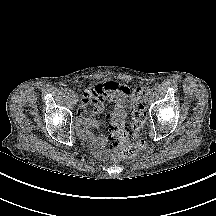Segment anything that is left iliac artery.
Here are the masks:
<instances>
[{"label":"left iliac artery","instance_id":"obj_1","mask_svg":"<svg viewBox=\"0 0 216 216\" xmlns=\"http://www.w3.org/2000/svg\"><path fill=\"white\" fill-rule=\"evenodd\" d=\"M152 90L150 89V88H147L146 89V93H148V94H151L152 92H151Z\"/></svg>","mask_w":216,"mask_h":216}]
</instances>
